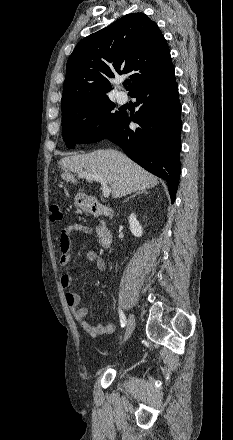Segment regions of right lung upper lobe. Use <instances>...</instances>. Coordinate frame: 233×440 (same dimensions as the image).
<instances>
[{"mask_svg":"<svg viewBox=\"0 0 233 440\" xmlns=\"http://www.w3.org/2000/svg\"><path fill=\"white\" fill-rule=\"evenodd\" d=\"M173 66L167 42L143 13L128 14L82 39L69 56L61 106L108 97L109 79L129 74L131 95Z\"/></svg>","mask_w":233,"mask_h":440,"instance_id":"cb5924a9","label":"right lung upper lobe"}]
</instances>
